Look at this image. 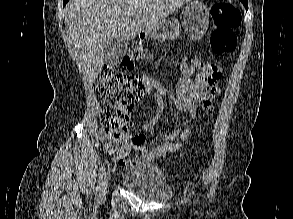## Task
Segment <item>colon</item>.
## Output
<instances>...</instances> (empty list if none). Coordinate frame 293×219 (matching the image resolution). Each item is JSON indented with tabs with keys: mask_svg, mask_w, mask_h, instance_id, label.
I'll list each match as a JSON object with an SVG mask.
<instances>
[{
	"mask_svg": "<svg viewBox=\"0 0 293 219\" xmlns=\"http://www.w3.org/2000/svg\"><path fill=\"white\" fill-rule=\"evenodd\" d=\"M211 18L213 31L210 45L213 53L221 56L233 52L237 43L235 30L241 24L240 11L230 3L219 2L211 7ZM148 57L146 49L135 44L120 62L106 65L102 69L96 90L108 103L101 121L109 133L126 129L130 124L134 106L144 94L143 84L140 78L132 73V69L136 62L144 61ZM206 72L213 80L222 77V69L216 63H210Z\"/></svg>",
	"mask_w": 293,
	"mask_h": 219,
	"instance_id": "obj_1",
	"label": "colon"
}]
</instances>
